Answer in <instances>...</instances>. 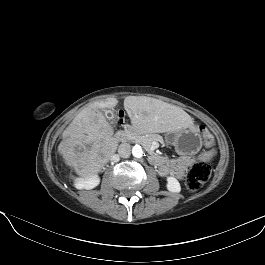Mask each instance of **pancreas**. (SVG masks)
Here are the masks:
<instances>
[{"mask_svg": "<svg viewBox=\"0 0 265 265\" xmlns=\"http://www.w3.org/2000/svg\"><path fill=\"white\" fill-rule=\"evenodd\" d=\"M127 140L139 143L147 150H150L153 141H159L160 143H163V138L161 136L156 134L144 135L141 132H128Z\"/></svg>", "mask_w": 265, "mask_h": 265, "instance_id": "cf45deb5", "label": "pancreas"}]
</instances>
